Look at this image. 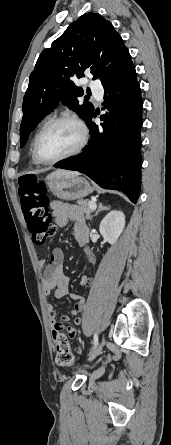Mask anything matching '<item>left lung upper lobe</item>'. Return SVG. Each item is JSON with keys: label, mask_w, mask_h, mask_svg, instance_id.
I'll use <instances>...</instances> for the list:
<instances>
[{"label": "left lung upper lobe", "mask_w": 171, "mask_h": 445, "mask_svg": "<svg viewBox=\"0 0 171 445\" xmlns=\"http://www.w3.org/2000/svg\"><path fill=\"white\" fill-rule=\"evenodd\" d=\"M132 63L128 49L113 25L100 14L86 13L39 56L23 99L20 126L21 147L38 123L59 102L88 121L94 113L92 103L79 104L83 89L75 78L90 70L102 85L124 66Z\"/></svg>", "instance_id": "1"}]
</instances>
